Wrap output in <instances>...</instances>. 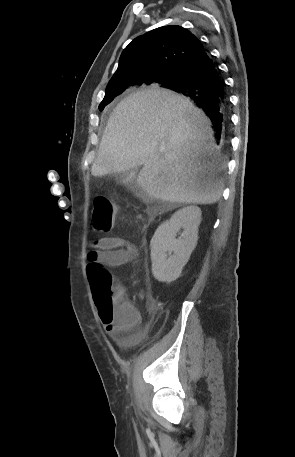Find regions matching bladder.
Masks as SVG:
<instances>
[{
    "label": "bladder",
    "instance_id": "1",
    "mask_svg": "<svg viewBox=\"0 0 295 457\" xmlns=\"http://www.w3.org/2000/svg\"><path fill=\"white\" fill-rule=\"evenodd\" d=\"M113 346L114 347H135L136 339L135 338H114ZM127 352L130 354L132 351L129 349Z\"/></svg>",
    "mask_w": 295,
    "mask_h": 457
}]
</instances>
